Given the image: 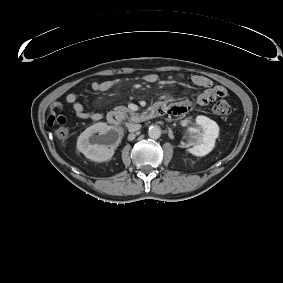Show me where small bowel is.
Wrapping results in <instances>:
<instances>
[{"label": "small bowel", "mask_w": 283, "mask_h": 283, "mask_svg": "<svg viewBox=\"0 0 283 283\" xmlns=\"http://www.w3.org/2000/svg\"><path fill=\"white\" fill-rule=\"evenodd\" d=\"M143 80L150 82V83H157L159 81L158 75L154 73L146 74L142 77ZM122 79H111L106 81H95L92 83L91 88L95 92H103L107 91L114 86L122 83ZM171 83L174 82L173 80L170 81ZM191 82L193 85L203 88V91L200 92L196 98L195 102L200 106H206L211 101L225 97L227 95V90L220 86H214L212 80L204 75L195 74L191 77ZM65 103L72 106L73 111L77 118L80 119H91L93 121H98L102 119L103 114L98 111H88L79 102L78 97L75 93H69L65 97ZM166 102L163 104L165 106ZM64 108V104L62 102L56 101L53 102L50 106V121L53 122H63L66 121L65 117L62 115L55 116L56 111H62ZM190 109V104L187 101H181L175 105L169 107V112L173 116H182L188 112Z\"/></svg>", "instance_id": "c3829d8e"}]
</instances>
